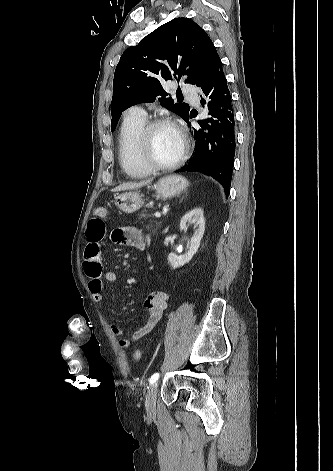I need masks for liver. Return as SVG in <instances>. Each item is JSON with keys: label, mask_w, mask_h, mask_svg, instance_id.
Here are the masks:
<instances>
[{"label": "liver", "mask_w": 333, "mask_h": 471, "mask_svg": "<svg viewBox=\"0 0 333 471\" xmlns=\"http://www.w3.org/2000/svg\"><path fill=\"white\" fill-rule=\"evenodd\" d=\"M152 180H147L139 183H123L119 185L118 187L114 188V191H125V190H134L138 189L142 186H145L147 184H150Z\"/></svg>", "instance_id": "liver-1"}]
</instances>
